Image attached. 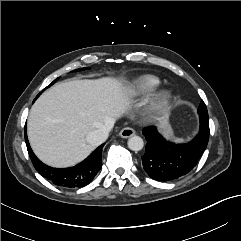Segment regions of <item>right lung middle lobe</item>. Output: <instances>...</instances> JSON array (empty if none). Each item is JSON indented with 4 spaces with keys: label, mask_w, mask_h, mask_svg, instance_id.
<instances>
[{
    "label": "right lung middle lobe",
    "mask_w": 241,
    "mask_h": 241,
    "mask_svg": "<svg viewBox=\"0 0 241 241\" xmlns=\"http://www.w3.org/2000/svg\"><path fill=\"white\" fill-rule=\"evenodd\" d=\"M86 68H80V69H77V70H75V71H81V70H85ZM58 80V78L57 79H55L49 86H47V87H50L52 84H54L56 81ZM39 96V95H38ZM37 96V97H38Z\"/></svg>",
    "instance_id": "1"
}]
</instances>
